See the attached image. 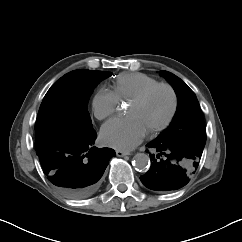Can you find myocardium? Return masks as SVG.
I'll list each match as a JSON object with an SVG mask.
<instances>
[{"label":"myocardium","mask_w":242,"mask_h":242,"mask_svg":"<svg viewBox=\"0 0 242 242\" xmlns=\"http://www.w3.org/2000/svg\"><path fill=\"white\" fill-rule=\"evenodd\" d=\"M159 88H165V89L169 90V92L172 95L173 104H172L171 112H170L169 116L167 117V119L160 125L155 126L148 131V133L151 135H154V134H157V133H160V132L166 130L174 121L176 114L178 112V108H179V97H178L177 91L175 90V88L172 85H170L168 83H157V84L147 88L146 90L141 92L139 95H137L136 97H134L133 99L130 100V102H132V103H142V102L146 101L149 98V96Z\"/></svg>","instance_id":"f54148a6"}]
</instances>
